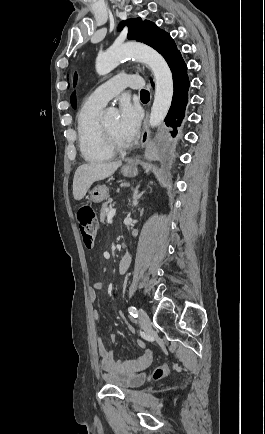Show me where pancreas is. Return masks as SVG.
<instances>
[{"label": "pancreas", "instance_id": "1", "mask_svg": "<svg viewBox=\"0 0 265 434\" xmlns=\"http://www.w3.org/2000/svg\"><path fill=\"white\" fill-rule=\"evenodd\" d=\"M110 212V208H108V202H105V204H102L101 210H100V222H105L108 214Z\"/></svg>", "mask_w": 265, "mask_h": 434}]
</instances>
